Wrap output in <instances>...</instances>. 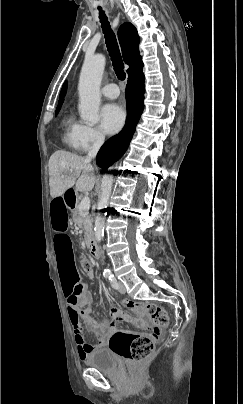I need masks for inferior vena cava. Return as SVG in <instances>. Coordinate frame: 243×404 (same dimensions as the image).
Segmentation results:
<instances>
[{
  "instance_id": "1",
  "label": "inferior vena cava",
  "mask_w": 243,
  "mask_h": 404,
  "mask_svg": "<svg viewBox=\"0 0 243 404\" xmlns=\"http://www.w3.org/2000/svg\"><path fill=\"white\" fill-rule=\"evenodd\" d=\"M104 140L105 136H98V138H96L90 152H88L86 156V160H92V158H96V154L99 148H101L102 144H104Z\"/></svg>"
}]
</instances>
